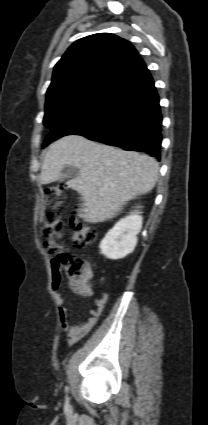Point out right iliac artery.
Segmentation results:
<instances>
[{"label":"right iliac artery","mask_w":208,"mask_h":425,"mask_svg":"<svg viewBox=\"0 0 208 425\" xmlns=\"http://www.w3.org/2000/svg\"><path fill=\"white\" fill-rule=\"evenodd\" d=\"M65 389H66V391H67V390H68V387H66Z\"/></svg>","instance_id":"1"}]
</instances>
